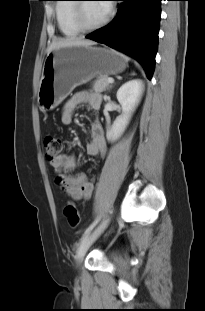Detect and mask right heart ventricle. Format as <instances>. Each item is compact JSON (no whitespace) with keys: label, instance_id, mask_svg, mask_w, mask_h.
<instances>
[{"label":"right heart ventricle","instance_id":"right-heart-ventricle-1","mask_svg":"<svg viewBox=\"0 0 205 311\" xmlns=\"http://www.w3.org/2000/svg\"><path fill=\"white\" fill-rule=\"evenodd\" d=\"M73 2L74 0H58L55 7L58 28L66 37H74L81 32L73 20Z\"/></svg>","mask_w":205,"mask_h":311}]
</instances>
